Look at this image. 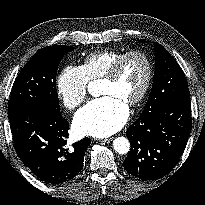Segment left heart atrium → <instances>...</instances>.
Returning a JSON list of instances; mask_svg holds the SVG:
<instances>
[{
    "instance_id": "39dd6f15",
    "label": "left heart atrium",
    "mask_w": 205,
    "mask_h": 205,
    "mask_svg": "<svg viewBox=\"0 0 205 205\" xmlns=\"http://www.w3.org/2000/svg\"><path fill=\"white\" fill-rule=\"evenodd\" d=\"M127 104L113 96L90 101L74 118L75 130L81 135L106 137L117 132L127 121Z\"/></svg>"
}]
</instances>
